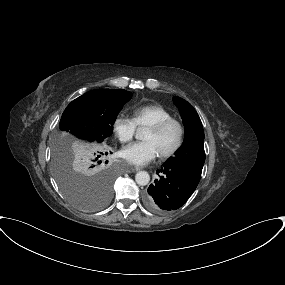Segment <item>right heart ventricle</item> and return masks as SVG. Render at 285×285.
<instances>
[{
    "instance_id": "e07e8e85",
    "label": "right heart ventricle",
    "mask_w": 285,
    "mask_h": 285,
    "mask_svg": "<svg viewBox=\"0 0 285 285\" xmlns=\"http://www.w3.org/2000/svg\"><path fill=\"white\" fill-rule=\"evenodd\" d=\"M133 116L136 125L139 127H149L157 122L172 117L170 112L156 104L137 107L133 111Z\"/></svg>"
}]
</instances>
